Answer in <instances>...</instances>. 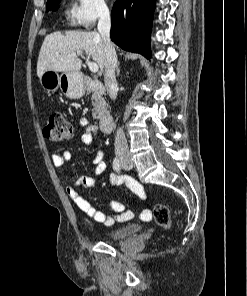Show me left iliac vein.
Returning <instances> with one entry per match:
<instances>
[{
  "mask_svg": "<svg viewBox=\"0 0 247 296\" xmlns=\"http://www.w3.org/2000/svg\"><path fill=\"white\" fill-rule=\"evenodd\" d=\"M132 167H133V164L131 162H129L128 164L122 163V168L125 170H130L132 169Z\"/></svg>",
  "mask_w": 247,
  "mask_h": 296,
  "instance_id": "obj_1",
  "label": "left iliac vein"
}]
</instances>
